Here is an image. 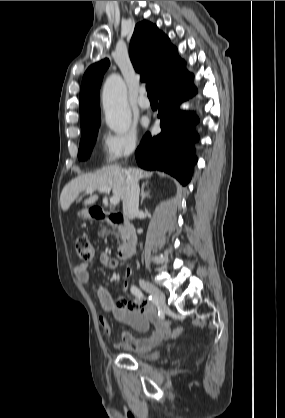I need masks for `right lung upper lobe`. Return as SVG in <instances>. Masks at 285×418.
Wrapping results in <instances>:
<instances>
[{
  "instance_id": "cb5924a9",
  "label": "right lung upper lobe",
  "mask_w": 285,
  "mask_h": 418,
  "mask_svg": "<svg viewBox=\"0 0 285 418\" xmlns=\"http://www.w3.org/2000/svg\"><path fill=\"white\" fill-rule=\"evenodd\" d=\"M129 54L134 68L141 73V81H152L157 94L186 72L185 62L169 38L147 21L135 26ZM109 65L105 58L92 64L83 76L79 99L81 126L100 119L99 90Z\"/></svg>"
}]
</instances>
